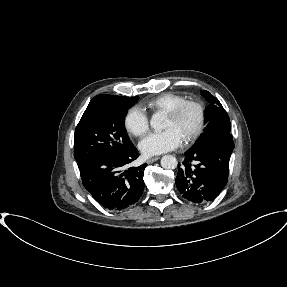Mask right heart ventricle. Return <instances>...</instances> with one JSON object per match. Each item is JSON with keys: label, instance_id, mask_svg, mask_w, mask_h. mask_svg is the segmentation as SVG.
Masks as SVG:
<instances>
[{"label": "right heart ventricle", "instance_id": "right-heart-ventricle-1", "mask_svg": "<svg viewBox=\"0 0 287 287\" xmlns=\"http://www.w3.org/2000/svg\"><path fill=\"white\" fill-rule=\"evenodd\" d=\"M184 101L185 96L167 92L146 100L142 107L151 113H167Z\"/></svg>", "mask_w": 287, "mask_h": 287}]
</instances>
